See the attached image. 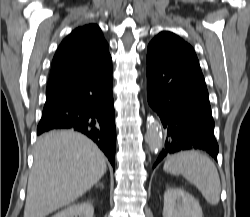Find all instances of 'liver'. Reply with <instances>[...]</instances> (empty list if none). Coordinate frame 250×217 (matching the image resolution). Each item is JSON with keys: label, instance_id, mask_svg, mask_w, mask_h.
I'll return each mask as SVG.
<instances>
[{"label": "liver", "instance_id": "obj_1", "mask_svg": "<svg viewBox=\"0 0 250 217\" xmlns=\"http://www.w3.org/2000/svg\"><path fill=\"white\" fill-rule=\"evenodd\" d=\"M106 158L86 136L52 131L39 137L24 217H46L86 193L105 174Z\"/></svg>", "mask_w": 250, "mask_h": 217}]
</instances>
